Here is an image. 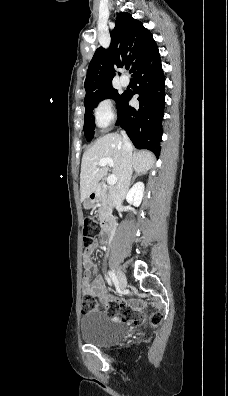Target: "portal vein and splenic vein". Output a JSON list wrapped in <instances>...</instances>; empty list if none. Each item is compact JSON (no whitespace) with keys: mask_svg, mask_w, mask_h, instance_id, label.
Masks as SVG:
<instances>
[{"mask_svg":"<svg viewBox=\"0 0 228 396\" xmlns=\"http://www.w3.org/2000/svg\"><path fill=\"white\" fill-rule=\"evenodd\" d=\"M106 165H109L110 167H112L113 166V159H111V158H103V159H101L98 162V166H106ZM116 182H117L116 175L112 174V175L108 176L107 183L109 185H114V184H116Z\"/></svg>","mask_w":228,"mask_h":396,"instance_id":"portal-vein-and-splenic-vein-1","label":"portal vein and splenic vein"}]
</instances>
